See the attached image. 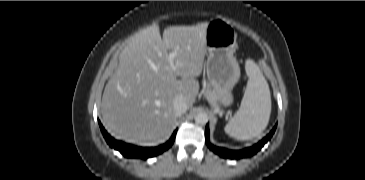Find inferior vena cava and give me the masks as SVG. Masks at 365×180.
<instances>
[{
    "label": "inferior vena cava",
    "mask_w": 365,
    "mask_h": 180,
    "mask_svg": "<svg viewBox=\"0 0 365 180\" xmlns=\"http://www.w3.org/2000/svg\"><path fill=\"white\" fill-rule=\"evenodd\" d=\"M187 104L182 97H176L173 102V109L177 116L184 114L187 111Z\"/></svg>",
    "instance_id": "602c4592"
}]
</instances>
